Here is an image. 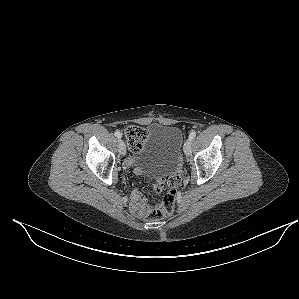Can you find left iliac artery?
<instances>
[{"instance_id":"44dca946","label":"left iliac artery","mask_w":299,"mask_h":299,"mask_svg":"<svg viewBox=\"0 0 299 299\" xmlns=\"http://www.w3.org/2000/svg\"><path fill=\"white\" fill-rule=\"evenodd\" d=\"M195 136H196V131H192L189 135V139L193 140L195 138Z\"/></svg>"}]
</instances>
